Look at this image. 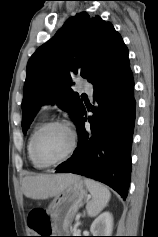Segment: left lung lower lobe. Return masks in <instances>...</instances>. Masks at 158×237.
I'll return each instance as SVG.
<instances>
[{
	"mask_svg": "<svg viewBox=\"0 0 158 237\" xmlns=\"http://www.w3.org/2000/svg\"><path fill=\"white\" fill-rule=\"evenodd\" d=\"M97 105L88 117L85 107L77 123L78 147L72 157L59 165L57 172H71L100 181L113 188L123 199L128 195L131 177V147L135 124L136 100L129 60L94 86Z\"/></svg>",
	"mask_w": 158,
	"mask_h": 237,
	"instance_id": "left-lung-lower-lobe-1",
	"label": "left lung lower lobe"
}]
</instances>
